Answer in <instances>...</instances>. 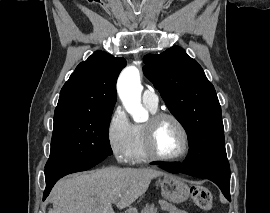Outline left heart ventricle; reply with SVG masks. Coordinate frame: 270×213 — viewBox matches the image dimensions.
<instances>
[{"label":"left heart ventricle","mask_w":270,"mask_h":213,"mask_svg":"<svg viewBox=\"0 0 270 213\" xmlns=\"http://www.w3.org/2000/svg\"><path fill=\"white\" fill-rule=\"evenodd\" d=\"M154 145L157 152L164 156H174L182 151L183 135L172 120L164 119L158 124L154 134Z\"/></svg>","instance_id":"1"}]
</instances>
